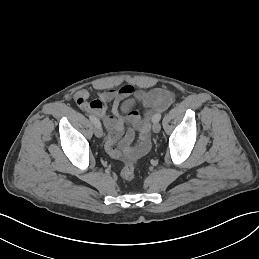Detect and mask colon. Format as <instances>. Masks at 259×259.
<instances>
[{
    "label": "colon",
    "mask_w": 259,
    "mask_h": 259,
    "mask_svg": "<svg viewBox=\"0 0 259 259\" xmlns=\"http://www.w3.org/2000/svg\"><path fill=\"white\" fill-rule=\"evenodd\" d=\"M136 167L134 163H127L121 170L120 176L124 180H132L135 177Z\"/></svg>",
    "instance_id": "obj_1"
}]
</instances>
